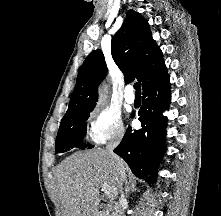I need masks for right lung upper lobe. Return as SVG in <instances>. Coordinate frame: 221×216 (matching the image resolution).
<instances>
[{"label": "right lung upper lobe", "mask_w": 221, "mask_h": 216, "mask_svg": "<svg viewBox=\"0 0 221 216\" xmlns=\"http://www.w3.org/2000/svg\"><path fill=\"white\" fill-rule=\"evenodd\" d=\"M111 53L124 73L125 82L137 78L144 87L166 70L162 52L152 38L148 22L133 10L127 12L121 28L113 36ZM106 72L102 52H91L78 72L75 89L63 118L95 107L97 88Z\"/></svg>", "instance_id": "1"}]
</instances>
